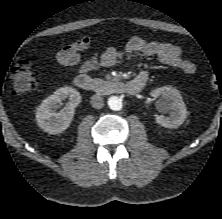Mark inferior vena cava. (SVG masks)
I'll return each instance as SVG.
<instances>
[{
  "label": "inferior vena cava",
  "instance_id": "1",
  "mask_svg": "<svg viewBox=\"0 0 222 219\" xmlns=\"http://www.w3.org/2000/svg\"><path fill=\"white\" fill-rule=\"evenodd\" d=\"M91 105L92 107L96 108V109H100L104 106V101H103V98L100 96V95H93L91 97Z\"/></svg>",
  "mask_w": 222,
  "mask_h": 219
}]
</instances>
